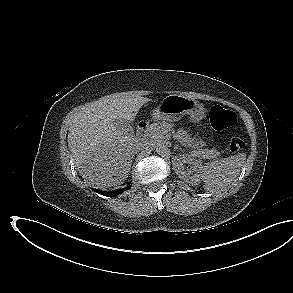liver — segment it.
I'll return each mask as SVG.
<instances>
[{
  "label": "liver",
  "instance_id": "6515ba94",
  "mask_svg": "<svg viewBox=\"0 0 293 293\" xmlns=\"http://www.w3.org/2000/svg\"><path fill=\"white\" fill-rule=\"evenodd\" d=\"M149 98L116 93L85 104L69 121L68 147L80 175L98 187L122 184L131 169L134 138L118 131L114 120L133 122Z\"/></svg>",
  "mask_w": 293,
  "mask_h": 293
}]
</instances>
